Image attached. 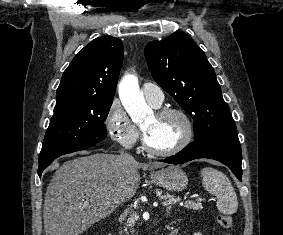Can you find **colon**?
I'll use <instances>...</instances> for the list:
<instances>
[{
    "label": "colon",
    "mask_w": 283,
    "mask_h": 235,
    "mask_svg": "<svg viewBox=\"0 0 283 235\" xmlns=\"http://www.w3.org/2000/svg\"><path fill=\"white\" fill-rule=\"evenodd\" d=\"M216 218L219 225L222 228L227 230H231L233 228V219L230 215L224 213H218ZM228 235H232V234H228Z\"/></svg>",
    "instance_id": "1"
}]
</instances>
